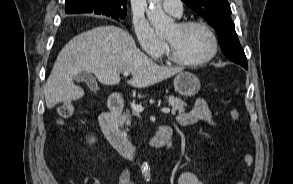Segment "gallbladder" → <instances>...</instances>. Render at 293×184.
<instances>
[{
  "label": "gallbladder",
  "instance_id": "1",
  "mask_svg": "<svg viewBox=\"0 0 293 184\" xmlns=\"http://www.w3.org/2000/svg\"><path fill=\"white\" fill-rule=\"evenodd\" d=\"M76 82H86L90 83L92 86L95 85L93 76L90 73L82 72L75 77Z\"/></svg>",
  "mask_w": 293,
  "mask_h": 184
}]
</instances>
